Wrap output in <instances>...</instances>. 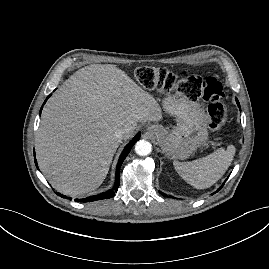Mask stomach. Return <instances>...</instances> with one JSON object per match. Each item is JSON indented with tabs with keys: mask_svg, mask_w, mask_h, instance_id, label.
Segmentation results:
<instances>
[{
	"mask_svg": "<svg viewBox=\"0 0 269 269\" xmlns=\"http://www.w3.org/2000/svg\"><path fill=\"white\" fill-rule=\"evenodd\" d=\"M163 108L176 118L177 126L168 131L160 125H151L149 130L166 157L184 160L207 142L206 114L197 102L176 96L166 97Z\"/></svg>",
	"mask_w": 269,
	"mask_h": 269,
	"instance_id": "stomach-1",
	"label": "stomach"
}]
</instances>
